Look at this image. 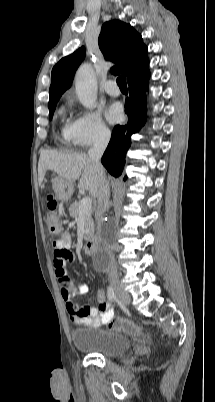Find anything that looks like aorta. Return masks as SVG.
I'll use <instances>...</instances> for the list:
<instances>
[{"label":"aorta","mask_w":215,"mask_h":402,"mask_svg":"<svg viewBox=\"0 0 215 402\" xmlns=\"http://www.w3.org/2000/svg\"><path fill=\"white\" fill-rule=\"evenodd\" d=\"M75 90L80 103L89 109L95 107L97 100V81L93 67L82 64L75 75ZM106 251L102 248L98 256H105Z\"/></svg>","instance_id":"obj_1"}]
</instances>
